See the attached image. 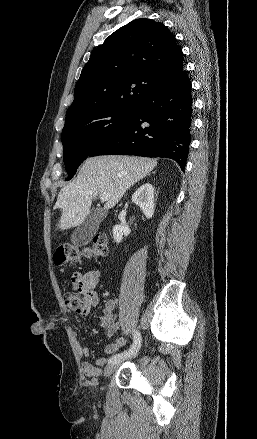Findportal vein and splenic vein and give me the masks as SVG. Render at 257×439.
I'll return each mask as SVG.
<instances>
[{
  "mask_svg": "<svg viewBox=\"0 0 257 439\" xmlns=\"http://www.w3.org/2000/svg\"><path fill=\"white\" fill-rule=\"evenodd\" d=\"M109 198H110V195L107 194V193H103V194L100 195V200L103 201V202L108 201Z\"/></svg>",
  "mask_w": 257,
  "mask_h": 439,
  "instance_id": "obj_1",
  "label": "portal vein and splenic vein"
}]
</instances>
